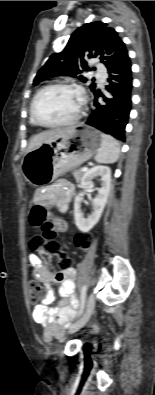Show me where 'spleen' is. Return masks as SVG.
<instances>
[{
  "mask_svg": "<svg viewBox=\"0 0 155 395\" xmlns=\"http://www.w3.org/2000/svg\"><path fill=\"white\" fill-rule=\"evenodd\" d=\"M120 154L118 141L108 134H102V142L96 153L95 160L98 163L112 164L115 163Z\"/></svg>",
  "mask_w": 155,
  "mask_h": 395,
  "instance_id": "spleen-1",
  "label": "spleen"
}]
</instances>
